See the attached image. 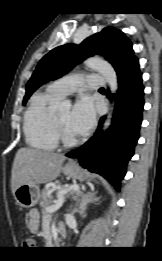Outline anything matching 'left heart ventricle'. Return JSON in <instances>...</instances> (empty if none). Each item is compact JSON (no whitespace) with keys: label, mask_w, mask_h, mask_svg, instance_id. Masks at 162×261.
<instances>
[{"label":"left heart ventricle","mask_w":162,"mask_h":261,"mask_svg":"<svg viewBox=\"0 0 162 261\" xmlns=\"http://www.w3.org/2000/svg\"><path fill=\"white\" fill-rule=\"evenodd\" d=\"M56 117L63 129L66 131V133L70 136L75 138L76 134L71 130L69 127V119H70V111L69 110H63L56 112Z\"/></svg>","instance_id":"left-heart-ventricle-1"}]
</instances>
